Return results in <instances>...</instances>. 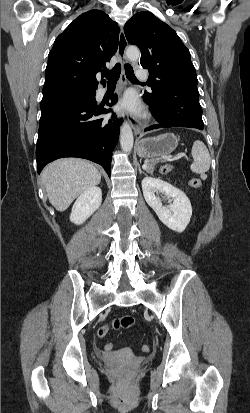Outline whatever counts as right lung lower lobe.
<instances>
[{"label": "right lung lower lobe", "mask_w": 250, "mask_h": 413, "mask_svg": "<svg viewBox=\"0 0 250 413\" xmlns=\"http://www.w3.org/2000/svg\"><path fill=\"white\" fill-rule=\"evenodd\" d=\"M95 90L90 94L43 97L36 160L38 173L49 162L62 157H80L100 164L110 176L112 151L123 120L110 109L97 105ZM117 102L113 95L112 106Z\"/></svg>", "instance_id": "1"}]
</instances>
